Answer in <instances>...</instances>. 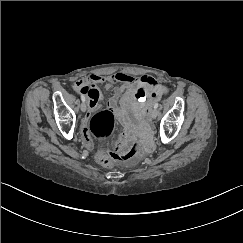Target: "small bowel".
I'll return each mask as SVG.
<instances>
[{"instance_id":"c3829d8e","label":"small bowel","mask_w":243,"mask_h":243,"mask_svg":"<svg viewBox=\"0 0 243 243\" xmlns=\"http://www.w3.org/2000/svg\"><path fill=\"white\" fill-rule=\"evenodd\" d=\"M100 83H104L107 88L113 83H117L114 94L109 100V107L118 120L128 127H133V121L128 110H131L139 118L145 113L146 109L150 108L167 92L166 87L159 84L150 75H143L136 79L124 73L108 76L91 74L84 79L77 80L72 85L77 93L88 98L90 112L98 108L101 95L97 85ZM89 119L90 114L82 122L83 142L87 148L92 146L88 133Z\"/></svg>"}]
</instances>
